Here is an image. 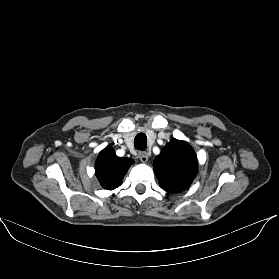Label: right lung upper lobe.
Returning a JSON list of instances; mask_svg holds the SVG:
<instances>
[{
	"label": "right lung upper lobe",
	"mask_w": 279,
	"mask_h": 279,
	"mask_svg": "<svg viewBox=\"0 0 279 279\" xmlns=\"http://www.w3.org/2000/svg\"><path fill=\"white\" fill-rule=\"evenodd\" d=\"M133 163L130 158L116 156L112 147H106L96 160V176L103 188L113 190L122 184L124 175Z\"/></svg>",
	"instance_id": "cb5924a9"
}]
</instances>
